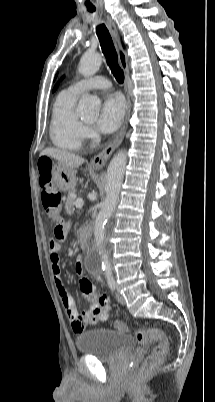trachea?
<instances>
[{
  "instance_id": "1",
  "label": "trachea",
  "mask_w": 215,
  "mask_h": 402,
  "mask_svg": "<svg viewBox=\"0 0 215 402\" xmlns=\"http://www.w3.org/2000/svg\"><path fill=\"white\" fill-rule=\"evenodd\" d=\"M90 12H94V9H89ZM96 33L99 38L102 52L107 59V65L111 69L112 74L119 83L124 81L123 70L118 65V57L113 45L111 35L104 24L98 25Z\"/></svg>"
}]
</instances>
